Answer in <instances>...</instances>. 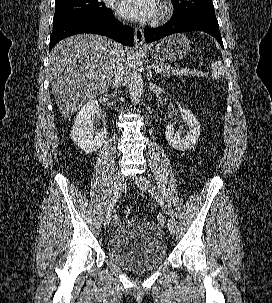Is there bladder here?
Here are the masks:
<instances>
[{"mask_svg":"<svg viewBox=\"0 0 272 303\" xmlns=\"http://www.w3.org/2000/svg\"><path fill=\"white\" fill-rule=\"evenodd\" d=\"M106 254L117 265L140 272L155 269L166 260L167 244L155 222L131 216L119 223L109 236Z\"/></svg>","mask_w":272,"mask_h":303,"instance_id":"1","label":"bladder"}]
</instances>
